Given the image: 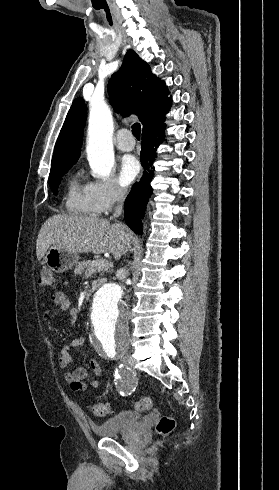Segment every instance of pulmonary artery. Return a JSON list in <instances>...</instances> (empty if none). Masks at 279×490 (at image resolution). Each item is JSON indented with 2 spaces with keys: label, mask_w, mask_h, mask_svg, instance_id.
Wrapping results in <instances>:
<instances>
[{
  "label": "pulmonary artery",
  "mask_w": 279,
  "mask_h": 490,
  "mask_svg": "<svg viewBox=\"0 0 279 490\" xmlns=\"http://www.w3.org/2000/svg\"><path fill=\"white\" fill-rule=\"evenodd\" d=\"M116 135L114 139V144L120 151L129 152L137 144L136 137H129V128H117Z\"/></svg>",
  "instance_id": "pulmonary-artery-1"
}]
</instances>
